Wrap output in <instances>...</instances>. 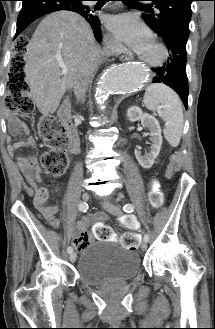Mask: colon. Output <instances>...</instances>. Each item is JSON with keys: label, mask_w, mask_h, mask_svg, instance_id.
Returning <instances> with one entry per match:
<instances>
[{"label": "colon", "mask_w": 215, "mask_h": 329, "mask_svg": "<svg viewBox=\"0 0 215 329\" xmlns=\"http://www.w3.org/2000/svg\"><path fill=\"white\" fill-rule=\"evenodd\" d=\"M14 54L12 67L8 77V91L6 101L8 109L29 114L34 109L30 98L29 86L24 72L23 55L27 44H35V37H14ZM39 135L45 141L48 151L41 157V163L45 171L52 177H60L68 166L66 147L68 137L60 120L54 116H44L38 126ZM150 200L155 206H160L163 195L157 181L151 182ZM133 219H126L123 224L129 231H140V224H133ZM139 235L126 232L121 239L122 245L129 249H136L139 243Z\"/></svg>", "instance_id": "obj_1"}]
</instances>
